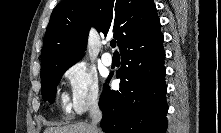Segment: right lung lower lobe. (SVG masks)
<instances>
[{"label": "right lung lower lobe", "instance_id": "1", "mask_svg": "<svg viewBox=\"0 0 221 133\" xmlns=\"http://www.w3.org/2000/svg\"><path fill=\"white\" fill-rule=\"evenodd\" d=\"M120 53V90L104 86L99 103L101 128L106 133H165L168 106L162 33L129 43Z\"/></svg>", "mask_w": 221, "mask_h": 133}]
</instances>
